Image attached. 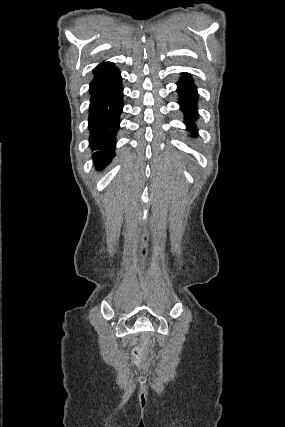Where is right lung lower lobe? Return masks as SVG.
Wrapping results in <instances>:
<instances>
[{
  "label": "right lung lower lobe",
  "mask_w": 285,
  "mask_h": 427,
  "mask_svg": "<svg viewBox=\"0 0 285 427\" xmlns=\"http://www.w3.org/2000/svg\"><path fill=\"white\" fill-rule=\"evenodd\" d=\"M120 71L95 77L90 83L89 131L92 157L98 170L115 156L116 135L123 110V87Z\"/></svg>",
  "instance_id": "right-lung-lower-lobe-1"
}]
</instances>
